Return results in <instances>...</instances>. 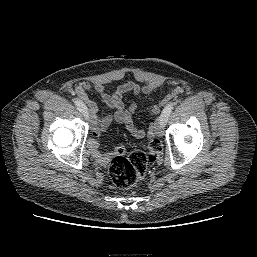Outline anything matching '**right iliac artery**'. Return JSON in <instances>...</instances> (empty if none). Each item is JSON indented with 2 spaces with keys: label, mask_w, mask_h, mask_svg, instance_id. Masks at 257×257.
<instances>
[{
  "label": "right iliac artery",
  "mask_w": 257,
  "mask_h": 257,
  "mask_svg": "<svg viewBox=\"0 0 257 257\" xmlns=\"http://www.w3.org/2000/svg\"><path fill=\"white\" fill-rule=\"evenodd\" d=\"M75 105L77 106V109L82 112L84 115L86 114L87 112V107L86 105L79 99H76L75 100Z\"/></svg>",
  "instance_id": "1"
}]
</instances>
